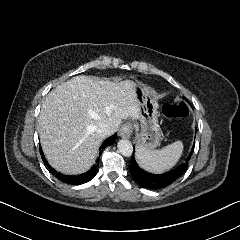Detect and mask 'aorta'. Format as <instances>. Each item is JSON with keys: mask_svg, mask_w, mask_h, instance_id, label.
Wrapping results in <instances>:
<instances>
[{"mask_svg": "<svg viewBox=\"0 0 240 240\" xmlns=\"http://www.w3.org/2000/svg\"><path fill=\"white\" fill-rule=\"evenodd\" d=\"M117 149L122 155L129 156L132 153L133 147L129 140L120 139L117 143Z\"/></svg>", "mask_w": 240, "mask_h": 240, "instance_id": "762f6f07", "label": "aorta"}]
</instances>
